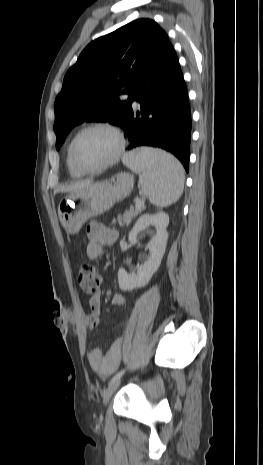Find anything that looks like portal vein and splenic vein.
<instances>
[{
    "label": "portal vein and splenic vein",
    "mask_w": 263,
    "mask_h": 465,
    "mask_svg": "<svg viewBox=\"0 0 263 465\" xmlns=\"http://www.w3.org/2000/svg\"><path fill=\"white\" fill-rule=\"evenodd\" d=\"M142 205H144L143 201H141L140 199L135 200V207L140 208Z\"/></svg>",
    "instance_id": "18ae733b"
}]
</instances>
